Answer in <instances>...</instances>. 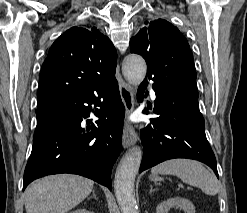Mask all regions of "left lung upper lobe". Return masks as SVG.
Masks as SVG:
<instances>
[{
  "label": "left lung upper lobe",
  "mask_w": 247,
  "mask_h": 213,
  "mask_svg": "<svg viewBox=\"0 0 247 213\" xmlns=\"http://www.w3.org/2000/svg\"><path fill=\"white\" fill-rule=\"evenodd\" d=\"M130 51L146 60V79L162 89L186 90L198 98L192 51L183 34L166 20L146 21L130 40Z\"/></svg>",
  "instance_id": "left-lung-upper-lobe-1"
}]
</instances>
